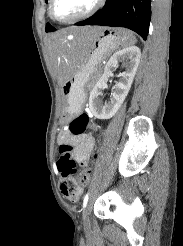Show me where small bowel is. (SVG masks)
I'll return each instance as SVG.
<instances>
[{
  "mask_svg": "<svg viewBox=\"0 0 183 246\" xmlns=\"http://www.w3.org/2000/svg\"><path fill=\"white\" fill-rule=\"evenodd\" d=\"M60 144L71 147V154L82 164L87 163L90 153L94 147V139L89 134L75 135L70 130H64L58 137ZM113 187H120V182H113Z\"/></svg>",
  "mask_w": 183,
  "mask_h": 246,
  "instance_id": "obj_1",
  "label": "small bowel"
}]
</instances>
